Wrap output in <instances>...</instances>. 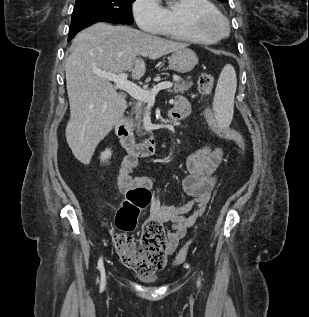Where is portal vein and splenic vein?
Wrapping results in <instances>:
<instances>
[{
  "label": "portal vein and splenic vein",
  "mask_w": 309,
  "mask_h": 317,
  "mask_svg": "<svg viewBox=\"0 0 309 317\" xmlns=\"http://www.w3.org/2000/svg\"><path fill=\"white\" fill-rule=\"evenodd\" d=\"M95 73L103 77L104 79L113 81L115 83L116 88L126 91L134 99L143 101L149 105L154 104L155 96L158 94L160 90L170 89L172 87V83L166 81L159 83L158 85L154 86L151 90H145L136 85L135 83L129 81L127 79L128 75L126 73L112 74L102 71H95Z\"/></svg>",
  "instance_id": "portal-vein-and-splenic-vein-1"
}]
</instances>
